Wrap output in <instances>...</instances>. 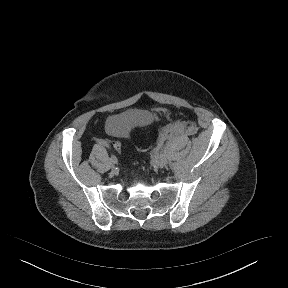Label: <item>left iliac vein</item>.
<instances>
[{
	"label": "left iliac vein",
	"instance_id": "left-iliac-vein-1",
	"mask_svg": "<svg viewBox=\"0 0 288 288\" xmlns=\"http://www.w3.org/2000/svg\"><path fill=\"white\" fill-rule=\"evenodd\" d=\"M154 163L159 168H163L167 164V159L165 156H160L154 160Z\"/></svg>",
	"mask_w": 288,
	"mask_h": 288
}]
</instances>
